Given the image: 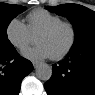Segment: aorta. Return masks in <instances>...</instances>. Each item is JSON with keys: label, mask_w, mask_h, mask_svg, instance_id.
I'll use <instances>...</instances> for the list:
<instances>
[{"label": "aorta", "mask_w": 95, "mask_h": 95, "mask_svg": "<svg viewBox=\"0 0 95 95\" xmlns=\"http://www.w3.org/2000/svg\"><path fill=\"white\" fill-rule=\"evenodd\" d=\"M52 76V68L46 64L41 63L36 67V77L42 81H48Z\"/></svg>", "instance_id": "aorta-1"}]
</instances>
